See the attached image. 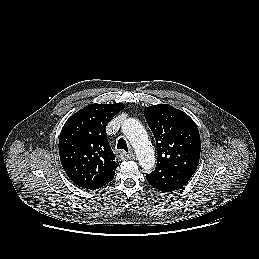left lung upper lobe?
Returning <instances> with one entry per match:
<instances>
[{
	"instance_id": "5c2ea615",
	"label": "left lung upper lobe",
	"mask_w": 259,
	"mask_h": 259,
	"mask_svg": "<svg viewBox=\"0 0 259 259\" xmlns=\"http://www.w3.org/2000/svg\"><path fill=\"white\" fill-rule=\"evenodd\" d=\"M144 116L156 140L155 170H169L189 181L198 166L201 151L195 122L168 104L146 107Z\"/></svg>"
}]
</instances>
